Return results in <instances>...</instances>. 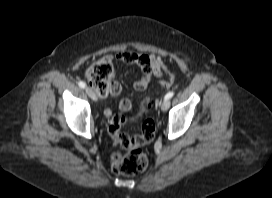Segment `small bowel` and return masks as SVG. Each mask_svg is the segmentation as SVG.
Here are the masks:
<instances>
[{
  "instance_id": "obj_1",
  "label": "small bowel",
  "mask_w": 272,
  "mask_h": 198,
  "mask_svg": "<svg viewBox=\"0 0 272 198\" xmlns=\"http://www.w3.org/2000/svg\"><path fill=\"white\" fill-rule=\"evenodd\" d=\"M118 57H119L118 59L119 62L135 64L144 70V74L138 79H144L145 77L151 78L153 76L160 77L163 74L164 64L160 59L154 56L124 51V52H120L118 54ZM134 86H135V82H134ZM120 92H121V85L118 82L113 81L112 93L110 94V96H116ZM131 107H132V103L129 99H123L119 103L120 110L124 112L129 111ZM112 114L113 112L110 108H106L104 110V115L106 117L110 118Z\"/></svg>"
}]
</instances>
